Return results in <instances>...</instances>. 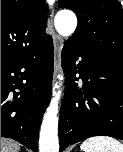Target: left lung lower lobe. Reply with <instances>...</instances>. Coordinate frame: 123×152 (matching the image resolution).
I'll use <instances>...</instances> for the list:
<instances>
[{"label": "left lung lower lobe", "mask_w": 123, "mask_h": 152, "mask_svg": "<svg viewBox=\"0 0 123 152\" xmlns=\"http://www.w3.org/2000/svg\"><path fill=\"white\" fill-rule=\"evenodd\" d=\"M62 60L66 84L59 121L60 151L93 136L123 140V64L69 42L62 49ZM76 74L83 81L82 89L74 82L79 79Z\"/></svg>", "instance_id": "obj_1"}]
</instances>
